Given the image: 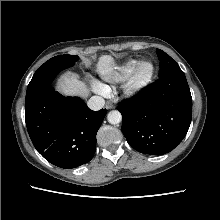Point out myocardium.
I'll list each match as a JSON object with an SVG mask.
<instances>
[{
  "label": "myocardium",
  "mask_w": 220,
  "mask_h": 220,
  "mask_svg": "<svg viewBox=\"0 0 220 220\" xmlns=\"http://www.w3.org/2000/svg\"><path fill=\"white\" fill-rule=\"evenodd\" d=\"M144 64H149L150 70L148 74L141 77L139 71ZM155 73V65L148 59L137 62L124 85V93L127 96L134 97L139 95L150 84Z\"/></svg>",
  "instance_id": "myocardium-1"
}]
</instances>
